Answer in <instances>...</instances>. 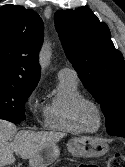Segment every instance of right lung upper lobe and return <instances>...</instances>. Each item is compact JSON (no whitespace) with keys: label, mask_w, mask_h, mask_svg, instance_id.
I'll use <instances>...</instances> for the list:
<instances>
[{"label":"right lung upper lobe","mask_w":125,"mask_h":167,"mask_svg":"<svg viewBox=\"0 0 125 167\" xmlns=\"http://www.w3.org/2000/svg\"><path fill=\"white\" fill-rule=\"evenodd\" d=\"M43 29L42 19L33 10L12 4L0 7V85L37 86Z\"/></svg>","instance_id":"cb5924a9"}]
</instances>
